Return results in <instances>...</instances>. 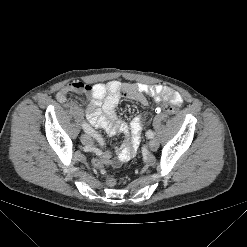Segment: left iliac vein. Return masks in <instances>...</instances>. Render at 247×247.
Wrapping results in <instances>:
<instances>
[{
  "label": "left iliac vein",
  "mask_w": 247,
  "mask_h": 247,
  "mask_svg": "<svg viewBox=\"0 0 247 247\" xmlns=\"http://www.w3.org/2000/svg\"><path fill=\"white\" fill-rule=\"evenodd\" d=\"M158 146H159V142L156 138H152L149 141V149L150 150L155 151V150H157Z\"/></svg>",
  "instance_id": "4c4485c4"
}]
</instances>
